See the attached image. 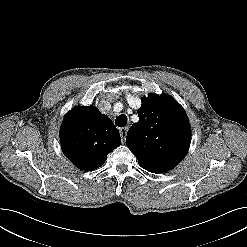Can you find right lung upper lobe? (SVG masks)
I'll return each instance as SVG.
<instances>
[{
    "label": "right lung upper lobe",
    "mask_w": 247,
    "mask_h": 247,
    "mask_svg": "<svg viewBox=\"0 0 247 247\" xmlns=\"http://www.w3.org/2000/svg\"><path fill=\"white\" fill-rule=\"evenodd\" d=\"M60 142L64 155L76 167L92 171L102 166L121 138L111 119L98 108L77 106L64 117Z\"/></svg>",
    "instance_id": "obj_1"
}]
</instances>
